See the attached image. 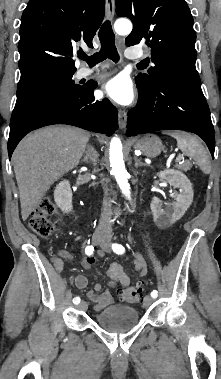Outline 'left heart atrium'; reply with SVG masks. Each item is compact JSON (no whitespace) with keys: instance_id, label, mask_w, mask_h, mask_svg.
Instances as JSON below:
<instances>
[{"instance_id":"left-heart-atrium-1","label":"left heart atrium","mask_w":221,"mask_h":379,"mask_svg":"<svg viewBox=\"0 0 221 379\" xmlns=\"http://www.w3.org/2000/svg\"><path fill=\"white\" fill-rule=\"evenodd\" d=\"M102 93L109 99L121 105L129 104L133 99L131 83L123 76H117L109 80L104 85Z\"/></svg>"}]
</instances>
